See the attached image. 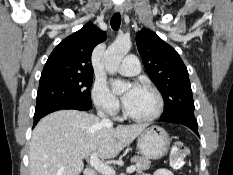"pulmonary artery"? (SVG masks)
<instances>
[{
	"label": "pulmonary artery",
	"instance_id": "obj_1",
	"mask_svg": "<svg viewBox=\"0 0 233 175\" xmlns=\"http://www.w3.org/2000/svg\"><path fill=\"white\" fill-rule=\"evenodd\" d=\"M119 72L125 76H134L140 71V62L135 55H128L119 66Z\"/></svg>",
	"mask_w": 233,
	"mask_h": 175
}]
</instances>
